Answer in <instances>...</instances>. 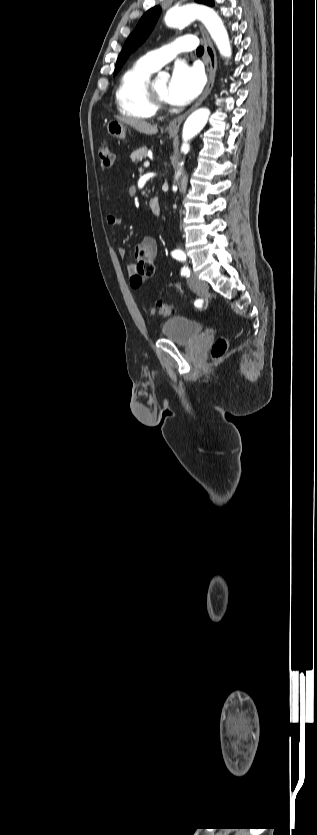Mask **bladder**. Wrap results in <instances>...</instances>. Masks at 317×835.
I'll return each mask as SVG.
<instances>
[{
	"instance_id": "1",
	"label": "bladder",
	"mask_w": 317,
	"mask_h": 835,
	"mask_svg": "<svg viewBox=\"0 0 317 835\" xmlns=\"http://www.w3.org/2000/svg\"><path fill=\"white\" fill-rule=\"evenodd\" d=\"M204 331L201 323L183 316H172L161 326V335L179 345H188L197 340Z\"/></svg>"
}]
</instances>
